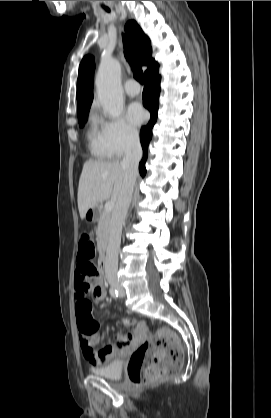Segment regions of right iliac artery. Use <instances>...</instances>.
<instances>
[{"label":"right iliac artery","mask_w":271,"mask_h":418,"mask_svg":"<svg viewBox=\"0 0 271 418\" xmlns=\"http://www.w3.org/2000/svg\"><path fill=\"white\" fill-rule=\"evenodd\" d=\"M109 291H110V295L113 298L116 299L118 297V291H117V289L114 286H112Z\"/></svg>","instance_id":"82829eb1"}]
</instances>
